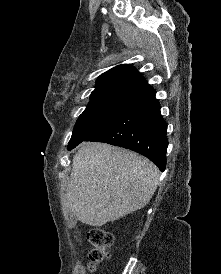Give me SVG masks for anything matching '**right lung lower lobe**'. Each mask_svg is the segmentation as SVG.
Listing matches in <instances>:
<instances>
[{"label": "right lung lower lobe", "instance_id": "98d812e1", "mask_svg": "<svg viewBox=\"0 0 221 274\" xmlns=\"http://www.w3.org/2000/svg\"><path fill=\"white\" fill-rule=\"evenodd\" d=\"M152 89L85 141L105 142L146 156L161 171L166 167L167 124ZM75 148V147H74Z\"/></svg>", "mask_w": 221, "mask_h": 274}]
</instances>
